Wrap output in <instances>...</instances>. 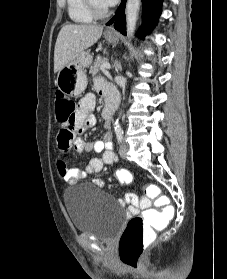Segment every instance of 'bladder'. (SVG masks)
I'll use <instances>...</instances> for the list:
<instances>
[{
	"label": "bladder",
	"mask_w": 227,
	"mask_h": 279,
	"mask_svg": "<svg viewBox=\"0 0 227 279\" xmlns=\"http://www.w3.org/2000/svg\"><path fill=\"white\" fill-rule=\"evenodd\" d=\"M64 204L76 231L88 232L99 240L110 241L121 232L124 214L117 199L93 185L67 188Z\"/></svg>",
	"instance_id": "obj_1"
}]
</instances>
